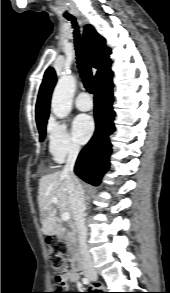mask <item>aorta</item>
<instances>
[{
	"mask_svg": "<svg viewBox=\"0 0 170 293\" xmlns=\"http://www.w3.org/2000/svg\"><path fill=\"white\" fill-rule=\"evenodd\" d=\"M75 88L76 79L72 75H64L57 82L51 99V110L57 118H65L70 113Z\"/></svg>",
	"mask_w": 170,
	"mask_h": 293,
	"instance_id": "obj_1",
	"label": "aorta"
}]
</instances>
